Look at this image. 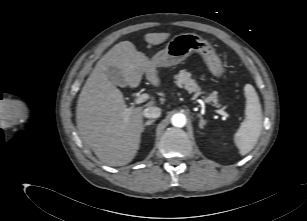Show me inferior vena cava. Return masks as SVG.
Wrapping results in <instances>:
<instances>
[{"label": "inferior vena cava", "mask_w": 307, "mask_h": 221, "mask_svg": "<svg viewBox=\"0 0 307 221\" xmlns=\"http://www.w3.org/2000/svg\"><path fill=\"white\" fill-rule=\"evenodd\" d=\"M143 115L146 118H158L161 115V109L156 106H149L144 109Z\"/></svg>", "instance_id": "1"}]
</instances>
